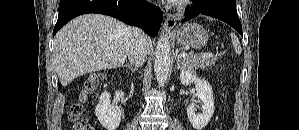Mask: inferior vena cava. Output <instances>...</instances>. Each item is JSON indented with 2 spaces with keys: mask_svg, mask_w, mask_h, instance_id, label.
I'll use <instances>...</instances> for the list:
<instances>
[{
  "mask_svg": "<svg viewBox=\"0 0 299 130\" xmlns=\"http://www.w3.org/2000/svg\"><path fill=\"white\" fill-rule=\"evenodd\" d=\"M146 55L145 35L143 31L137 27L130 28V42L127 50L130 63L136 67L142 66Z\"/></svg>",
  "mask_w": 299,
  "mask_h": 130,
  "instance_id": "1",
  "label": "inferior vena cava"
}]
</instances>
